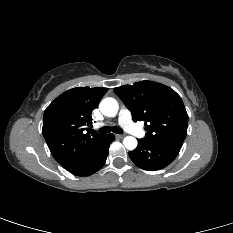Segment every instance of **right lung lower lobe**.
<instances>
[{
    "instance_id": "right-lung-lower-lobe-1",
    "label": "right lung lower lobe",
    "mask_w": 233,
    "mask_h": 233,
    "mask_svg": "<svg viewBox=\"0 0 233 233\" xmlns=\"http://www.w3.org/2000/svg\"><path fill=\"white\" fill-rule=\"evenodd\" d=\"M113 134L105 135L77 164L67 169L77 176H89L100 170L106 162L109 145L114 141Z\"/></svg>"
}]
</instances>
